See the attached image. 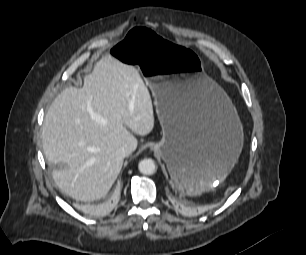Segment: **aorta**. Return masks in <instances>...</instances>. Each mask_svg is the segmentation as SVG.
Here are the masks:
<instances>
[{"mask_svg": "<svg viewBox=\"0 0 306 255\" xmlns=\"http://www.w3.org/2000/svg\"><path fill=\"white\" fill-rule=\"evenodd\" d=\"M138 169L144 175H152L156 172L157 167L153 159L146 158L139 162Z\"/></svg>", "mask_w": 306, "mask_h": 255, "instance_id": "aorta-1", "label": "aorta"}]
</instances>
